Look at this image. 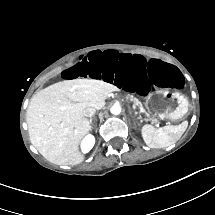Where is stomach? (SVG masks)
<instances>
[{
  "instance_id": "obj_1",
  "label": "stomach",
  "mask_w": 215,
  "mask_h": 215,
  "mask_svg": "<svg viewBox=\"0 0 215 215\" xmlns=\"http://www.w3.org/2000/svg\"><path fill=\"white\" fill-rule=\"evenodd\" d=\"M188 100L178 92L159 90L152 93L145 102L149 114L159 119L182 120L188 113Z\"/></svg>"
}]
</instances>
